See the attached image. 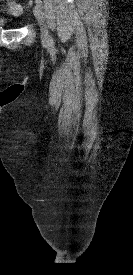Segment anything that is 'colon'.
<instances>
[{
  "label": "colon",
  "instance_id": "obj_1",
  "mask_svg": "<svg viewBox=\"0 0 133 275\" xmlns=\"http://www.w3.org/2000/svg\"><path fill=\"white\" fill-rule=\"evenodd\" d=\"M8 11L10 14L18 15L22 12V7L16 3L9 2L8 3Z\"/></svg>",
  "mask_w": 133,
  "mask_h": 275
}]
</instances>
